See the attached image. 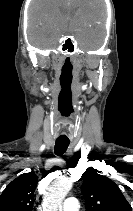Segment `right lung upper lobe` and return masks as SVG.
Listing matches in <instances>:
<instances>
[{
  "label": "right lung upper lobe",
  "instance_id": "right-lung-upper-lobe-1",
  "mask_svg": "<svg viewBox=\"0 0 133 211\" xmlns=\"http://www.w3.org/2000/svg\"><path fill=\"white\" fill-rule=\"evenodd\" d=\"M37 182L30 172L9 183L0 196V211H32Z\"/></svg>",
  "mask_w": 133,
  "mask_h": 211
}]
</instances>
